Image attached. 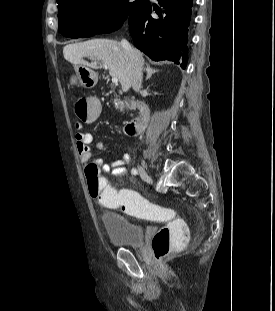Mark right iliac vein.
<instances>
[{
    "mask_svg": "<svg viewBox=\"0 0 275 311\" xmlns=\"http://www.w3.org/2000/svg\"><path fill=\"white\" fill-rule=\"evenodd\" d=\"M138 172H139V175L142 178V180H144L147 183L153 182L152 177L147 173V171L143 167L139 166Z\"/></svg>",
    "mask_w": 275,
    "mask_h": 311,
    "instance_id": "1",
    "label": "right iliac vein"
}]
</instances>
